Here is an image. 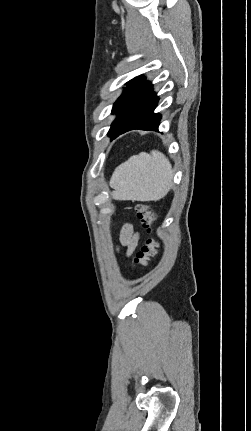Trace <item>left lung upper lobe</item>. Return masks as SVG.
Returning <instances> with one entry per match:
<instances>
[{
    "instance_id": "1",
    "label": "left lung upper lobe",
    "mask_w": 251,
    "mask_h": 431,
    "mask_svg": "<svg viewBox=\"0 0 251 431\" xmlns=\"http://www.w3.org/2000/svg\"><path fill=\"white\" fill-rule=\"evenodd\" d=\"M146 82L145 78L137 77L127 83V87L124 89L122 95L118 98V100L115 102L112 113L117 114L116 119L113 121L111 128L109 130V135L113 133V131L116 129V127L121 122L122 118L124 117L126 111L128 110L129 106L139 93L140 89Z\"/></svg>"
}]
</instances>
